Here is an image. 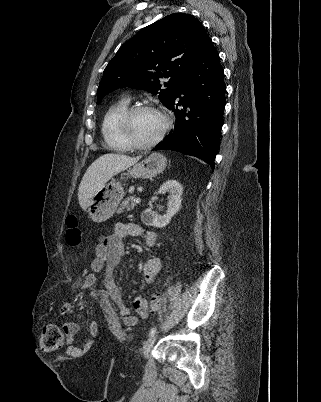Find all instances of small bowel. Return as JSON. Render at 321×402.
Segmentation results:
<instances>
[{
  "mask_svg": "<svg viewBox=\"0 0 321 402\" xmlns=\"http://www.w3.org/2000/svg\"><path fill=\"white\" fill-rule=\"evenodd\" d=\"M141 237L145 244L154 246L157 242V235L150 229H145L139 224L134 222L118 223L114 230L105 236H102L94 248L93 259L90 263V272L85 276L86 280L83 283L85 286H90L95 282L96 274L103 272L102 284L103 287L118 309L123 318V322L127 326H134L137 324V318L131 312V309L125 305L120 291L114 280L115 270L120 262V259L125 253L124 239L126 237ZM162 266V260L159 257H152L148 259L143 266V276L147 282H151ZM146 303L142 297H137L134 300V308L136 304ZM72 310V306L67 303L59 305L58 312L60 315H68ZM141 315V314H140ZM146 317V314L141 315ZM92 326H88L85 335V341L81 342L80 347L76 346V339L79 334V325L74 322H66L62 325L66 337V353L69 357L82 358L84 351L88 349V343L96 342V335H99L100 328L99 322L93 321Z\"/></svg>",
  "mask_w": 321,
  "mask_h": 402,
  "instance_id": "c3829d8e",
  "label": "small bowel"
}]
</instances>
